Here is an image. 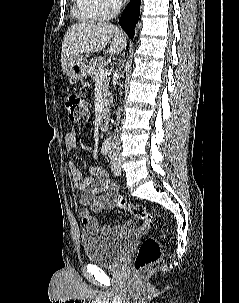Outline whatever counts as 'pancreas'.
<instances>
[{"mask_svg":"<svg viewBox=\"0 0 239 303\" xmlns=\"http://www.w3.org/2000/svg\"><path fill=\"white\" fill-rule=\"evenodd\" d=\"M105 60L102 57H94L90 60L87 70L93 81H97V72L103 69ZM103 101L105 104L108 103L109 97V79L105 78L103 80Z\"/></svg>","mask_w":239,"mask_h":303,"instance_id":"pancreas-1","label":"pancreas"}]
</instances>
